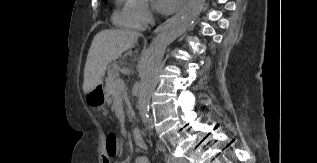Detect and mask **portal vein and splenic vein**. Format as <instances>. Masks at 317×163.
<instances>
[{
	"label": "portal vein and splenic vein",
	"instance_id": "portal-vein-and-splenic-vein-1",
	"mask_svg": "<svg viewBox=\"0 0 317 163\" xmlns=\"http://www.w3.org/2000/svg\"><path fill=\"white\" fill-rule=\"evenodd\" d=\"M116 86H117V89L124 90L125 83H124V81L122 79H118L116 81Z\"/></svg>",
	"mask_w": 317,
	"mask_h": 163
}]
</instances>
